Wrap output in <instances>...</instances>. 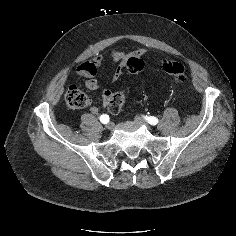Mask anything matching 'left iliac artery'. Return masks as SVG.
Segmentation results:
<instances>
[{"label":"left iliac artery","mask_w":236,"mask_h":236,"mask_svg":"<svg viewBox=\"0 0 236 236\" xmlns=\"http://www.w3.org/2000/svg\"><path fill=\"white\" fill-rule=\"evenodd\" d=\"M144 118L151 125H156L158 123V119L156 117H154V116H145Z\"/></svg>","instance_id":"44dca946"}]
</instances>
